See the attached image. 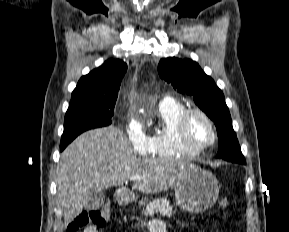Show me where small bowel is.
Wrapping results in <instances>:
<instances>
[{
	"label": "small bowel",
	"mask_w": 289,
	"mask_h": 232,
	"mask_svg": "<svg viewBox=\"0 0 289 232\" xmlns=\"http://www.w3.org/2000/svg\"><path fill=\"white\" fill-rule=\"evenodd\" d=\"M148 232H168L166 224L161 220H153L146 226ZM83 232H100L98 227L90 225L87 226Z\"/></svg>",
	"instance_id": "obj_1"
}]
</instances>
